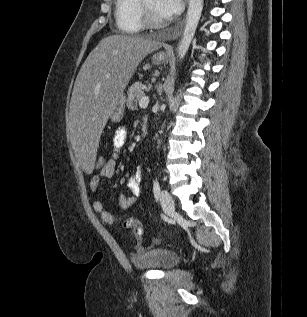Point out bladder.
Instances as JSON below:
<instances>
[{
  "label": "bladder",
  "mask_w": 307,
  "mask_h": 317,
  "mask_svg": "<svg viewBox=\"0 0 307 317\" xmlns=\"http://www.w3.org/2000/svg\"><path fill=\"white\" fill-rule=\"evenodd\" d=\"M131 259L138 269H171L179 263V256L175 252L163 248L143 252Z\"/></svg>",
  "instance_id": "31cf9c89"
}]
</instances>
